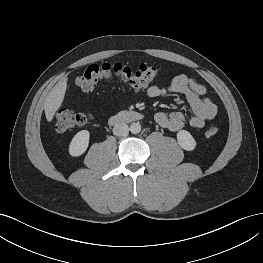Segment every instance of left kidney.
Segmentation results:
<instances>
[{
  "mask_svg": "<svg viewBox=\"0 0 263 263\" xmlns=\"http://www.w3.org/2000/svg\"><path fill=\"white\" fill-rule=\"evenodd\" d=\"M178 144L187 151H192L195 149L197 143L190 132L186 130H180L177 133Z\"/></svg>",
  "mask_w": 263,
  "mask_h": 263,
  "instance_id": "left-kidney-1",
  "label": "left kidney"
}]
</instances>
